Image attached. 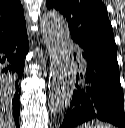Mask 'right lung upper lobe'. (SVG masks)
<instances>
[{"label":"right lung upper lobe","mask_w":125,"mask_h":128,"mask_svg":"<svg viewBox=\"0 0 125 128\" xmlns=\"http://www.w3.org/2000/svg\"><path fill=\"white\" fill-rule=\"evenodd\" d=\"M26 31L20 0H0V42Z\"/></svg>","instance_id":"cb5924a9"}]
</instances>
